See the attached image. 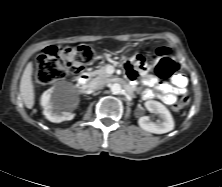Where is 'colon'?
<instances>
[{
	"label": "colon",
	"instance_id": "1",
	"mask_svg": "<svg viewBox=\"0 0 222 187\" xmlns=\"http://www.w3.org/2000/svg\"><path fill=\"white\" fill-rule=\"evenodd\" d=\"M92 53L87 48L48 47L39 56L36 70L38 84L47 86L68 75H77L89 65ZM144 66V64L142 63ZM178 70L176 61L169 55L166 47H160L155 53L154 72L161 79H167ZM189 97L182 96L174 104L177 113H184Z\"/></svg>",
	"mask_w": 222,
	"mask_h": 187
}]
</instances>
